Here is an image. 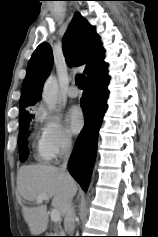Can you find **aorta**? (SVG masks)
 <instances>
[{
    "label": "aorta",
    "instance_id": "762f6f07",
    "mask_svg": "<svg viewBox=\"0 0 158 237\" xmlns=\"http://www.w3.org/2000/svg\"><path fill=\"white\" fill-rule=\"evenodd\" d=\"M42 99L49 109H56L58 103V83L54 76H49L44 83Z\"/></svg>",
    "mask_w": 158,
    "mask_h": 237
}]
</instances>
